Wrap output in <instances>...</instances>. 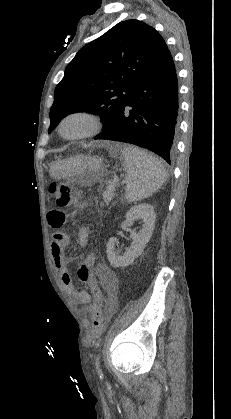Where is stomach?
Segmentation results:
<instances>
[{
    "mask_svg": "<svg viewBox=\"0 0 231 419\" xmlns=\"http://www.w3.org/2000/svg\"><path fill=\"white\" fill-rule=\"evenodd\" d=\"M102 159L98 156L78 154L50 166V176L55 179H69L81 185L100 179Z\"/></svg>",
    "mask_w": 231,
    "mask_h": 419,
    "instance_id": "stomach-1",
    "label": "stomach"
}]
</instances>
